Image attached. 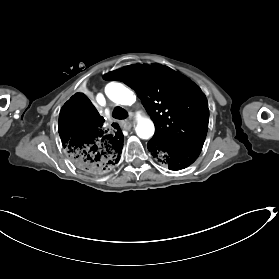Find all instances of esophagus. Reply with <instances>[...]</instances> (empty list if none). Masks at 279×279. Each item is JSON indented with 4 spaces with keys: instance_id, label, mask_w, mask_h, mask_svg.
<instances>
[{
    "instance_id": "esophagus-1",
    "label": "esophagus",
    "mask_w": 279,
    "mask_h": 279,
    "mask_svg": "<svg viewBox=\"0 0 279 279\" xmlns=\"http://www.w3.org/2000/svg\"><path fill=\"white\" fill-rule=\"evenodd\" d=\"M122 126L125 130H129L133 126V122L131 120L125 119L122 121Z\"/></svg>"
}]
</instances>
